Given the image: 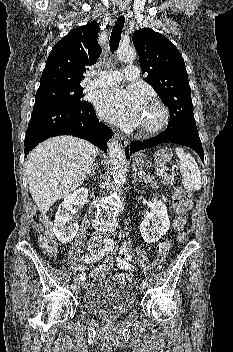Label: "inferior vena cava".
I'll list each match as a JSON object with an SVG mask.
<instances>
[{
	"label": "inferior vena cava",
	"mask_w": 233,
	"mask_h": 352,
	"mask_svg": "<svg viewBox=\"0 0 233 352\" xmlns=\"http://www.w3.org/2000/svg\"><path fill=\"white\" fill-rule=\"evenodd\" d=\"M101 241H102V237L100 234L96 233V234H93L91 239H90V243L92 245H96V244H101Z\"/></svg>",
	"instance_id": "obj_1"
}]
</instances>
